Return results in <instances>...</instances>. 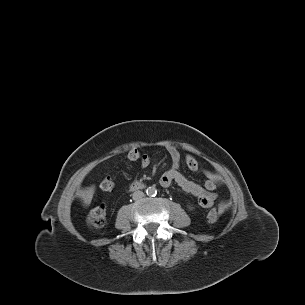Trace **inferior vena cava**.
Segmentation results:
<instances>
[{"instance_id":"1","label":"inferior vena cava","mask_w":305,"mask_h":305,"mask_svg":"<svg viewBox=\"0 0 305 305\" xmlns=\"http://www.w3.org/2000/svg\"><path fill=\"white\" fill-rule=\"evenodd\" d=\"M142 197H144V193L142 191H135L133 194H132V198L134 200H138V199H141Z\"/></svg>"}]
</instances>
